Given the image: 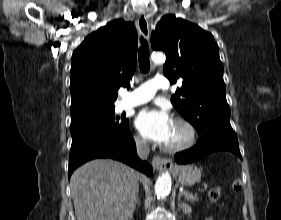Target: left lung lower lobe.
Returning a JSON list of instances; mask_svg holds the SVG:
<instances>
[{"label": "left lung lower lobe", "instance_id": "left-lung-lower-lobe-1", "mask_svg": "<svg viewBox=\"0 0 281 220\" xmlns=\"http://www.w3.org/2000/svg\"><path fill=\"white\" fill-rule=\"evenodd\" d=\"M200 135L195 147L175 155L178 164H187L217 151H229L242 159L238 139L233 129L203 131Z\"/></svg>", "mask_w": 281, "mask_h": 220}]
</instances>
